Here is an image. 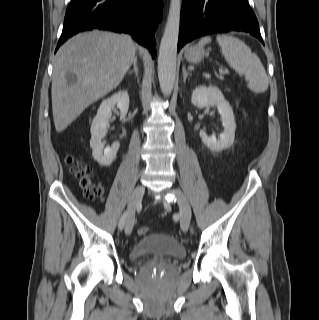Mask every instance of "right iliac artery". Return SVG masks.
I'll use <instances>...</instances> for the list:
<instances>
[{
    "label": "right iliac artery",
    "instance_id": "1",
    "mask_svg": "<svg viewBox=\"0 0 319 320\" xmlns=\"http://www.w3.org/2000/svg\"><path fill=\"white\" fill-rule=\"evenodd\" d=\"M127 215H128V212H124V214L121 216V218L119 220L118 227L120 230H122L124 228Z\"/></svg>",
    "mask_w": 319,
    "mask_h": 320
}]
</instances>
